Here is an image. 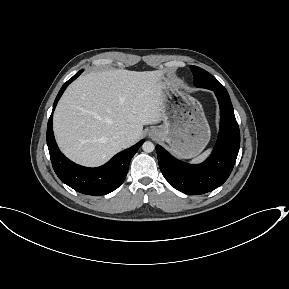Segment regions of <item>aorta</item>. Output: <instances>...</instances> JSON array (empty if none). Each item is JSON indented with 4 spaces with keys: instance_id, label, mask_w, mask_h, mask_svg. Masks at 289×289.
Here are the masks:
<instances>
[{
    "instance_id": "1",
    "label": "aorta",
    "mask_w": 289,
    "mask_h": 289,
    "mask_svg": "<svg viewBox=\"0 0 289 289\" xmlns=\"http://www.w3.org/2000/svg\"><path fill=\"white\" fill-rule=\"evenodd\" d=\"M142 149L144 152L150 153V152H153V150L155 149V146L152 142L146 141L143 143Z\"/></svg>"
}]
</instances>
